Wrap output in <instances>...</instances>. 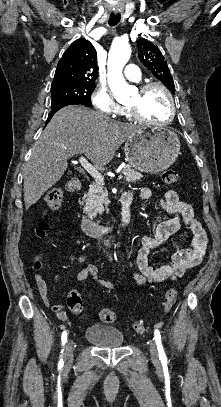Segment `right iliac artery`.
<instances>
[{
    "mask_svg": "<svg viewBox=\"0 0 221 407\" xmlns=\"http://www.w3.org/2000/svg\"><path fill=\"white\" fill-rule=\"evenodd\" d=\"M61 341H62V345L64 346L65 343H66V341H67V332H66V331H64V332L62 333ZM62 352H63V350H62ZM58 365H59V366H63V360H62V359L59 361Z\"/></svg>",
    "mask_w": 221,
    "mask_h": 407,
    "instance_id": "1",
    "label": "right iliac artery"
}]
</instances>
